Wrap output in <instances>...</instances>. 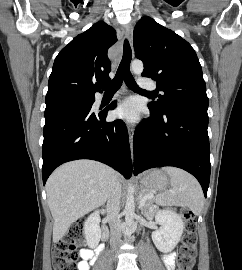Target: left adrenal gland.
Returning <instances> with one entry per match:
<instances>
[{"label":"left adrenal gland","instance_id":"obj_1","mask_svg":"<svg viewBox=\"0 0 242 270\" xmlns=\"http://www.w3.org/2000/svg\"><path fill=\"white\" fill-rule=\"evenodd\" d=\"M140 199H142V194L140 195ZM139 208H140L141 213H142L143 215H147V208H148V206H147L145 203H144L143 206H141V205H140V202H139Z\"/></svg>","mask_w":242,"mask_h":270}]
</instances>
